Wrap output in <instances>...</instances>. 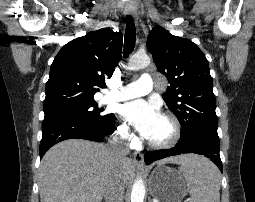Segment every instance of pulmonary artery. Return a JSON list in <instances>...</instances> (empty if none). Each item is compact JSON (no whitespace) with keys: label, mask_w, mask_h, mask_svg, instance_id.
Wrapping results in <instances>:
<instances>
[{"label":"pulmonary artery","mask_w":255,"mask_h":202,"mask_svg":"<svg viewBox=\"0 0 255 202\" xmlns=\"http://www.w3.org/2000/svg\"><path fill=\"white\" fill-rule=\"evenodd\" d=\"M153 88V80L150 74L144 73L132 83L121 86L118 90L109 92L103 99V103L125 101L148 94Z\"/></svg>","instance_id":"1"}]
</instances>
